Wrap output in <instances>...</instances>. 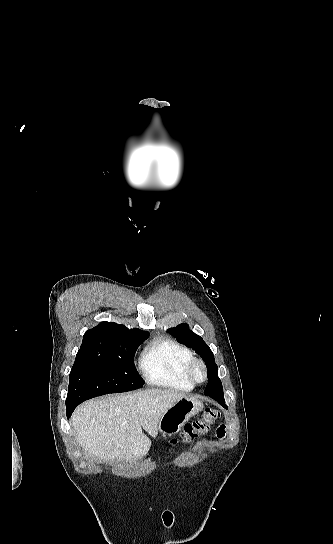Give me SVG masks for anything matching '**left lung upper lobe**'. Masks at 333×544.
<instances>
[{"label": "left lung upper lobe", "instance_id": "obj_1", "mask_svg": "<svg viewBox=\"0 0 333 544\" xmlns=\"http://www.w3.org/2000/svg\"><path fill=\"white\" fill-rule=\"evenodd\" d=\"M167 331L176 337L178 342L192 348L204 360L208 370V384L204 394L210 392H223L222 382L218 378V368L215 363L213 352L203 341V339L199 335L192 332L187 323L179 324L178 326L170 328Z\"/></svg>", "mask_w": 333, "mask_h": 544}]
</instances>
